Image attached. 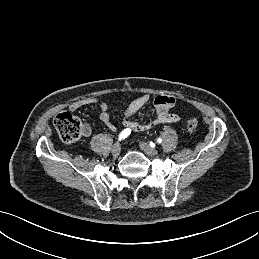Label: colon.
<instances>
[{
  "label": "colon",
  "mask_w": 259,
  "mask_h": 259,
  "mask_svg": "<svg viewBox=\"0 0 259 259\" xmlns=\"http://www.w3.org/2000/svg\"><path fill=\"white\" fill-rule=\"evenodd\" d=\"M54 127L65 143H74L82 135V125L80 121L69 112H61L54 119ZM198 121L196 118H189L186 122V129L189 133L196 131Z\"/></svg>",
  "instance_id": "1"
}]
</instances>
